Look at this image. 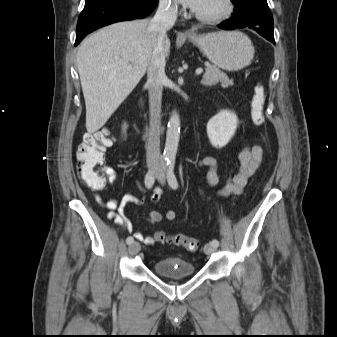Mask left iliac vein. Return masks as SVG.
Segmentation results:
<instances>
[{"instance_id": "left-iliac-vein-1", "label": "left iliac vein", "mask_w": 337, "mask_h": 337, "mask_svg": "<svg viewBox=\"0 0 337 337\" xmlns=\"http://www.w3.org/2000/svg\"><path fill=\"white\" fill-rule=\"evenodd\" d=\"M156 179L161 183V184H164L165 182V175H164V169L161 167L157 170L156 172ZM217 250V247L216 246H213L211 243H207L205 246H204V252L205 254L207 255H211L213 253H215Z\"/></svg>"}]
</instances>
